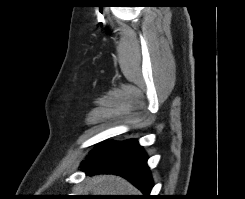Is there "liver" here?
<instances>
[{"instance_id": "obj_1", "label": "liver", "mask_w": 245, "mask_h": 199, "mask_svg": "<svg viewBox=\"0 0 245 199\" xmlns=\"http://www.w3.org/2000/svg\"><path fill=\"white\" fill-rule=\"evenodd\" d=\"M93 195H136L137 189L126 180L114 175H99L89 179Z\"/></svg>"}]
</instances>
